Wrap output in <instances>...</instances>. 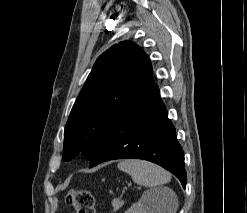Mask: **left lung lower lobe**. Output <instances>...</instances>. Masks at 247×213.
Returning a JSON list of instances; mask_svg holds the SVG:
<instances>
[{"mask_svg":"<svg viewBox=\"0 0 247 213\" xmlns=\"http://www.w3.org/2000/svg\"><path fill=\"white\" fill-rule=\"evenodd\" d=\"M144 159L172 172L186 185L184 152L152 80V70L137 98L103 138L89 168L113 159Z\"/></svg>","mask_w":247,"mask_h":213,"instance_id":"left-lung-lower-lobe-1","label":"left lung lower lobe"}]
</instances>
